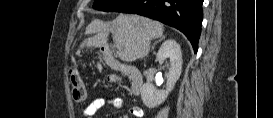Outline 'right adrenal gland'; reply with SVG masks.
I'll return each instance as SVG.
<instances>
[{"mask_svg": "<svg viewBox=\"0 0 273 118\" xmlns=\"http://www.w3.org/2000/svg\"><path fill=\"white\" fill-rule=\"evenodd\" d=\"M164 39H165V37L163 36V37H161L159 40L155 41V42L153 43V45H152V49L154 48V46H155L158 42H161V41L164 40Z\"/></svg>", "mask_w": 273, "mask_h": 118, "instance_id": "2a0ac1e0", "label": "right adrenal gland"}]
</instances>
